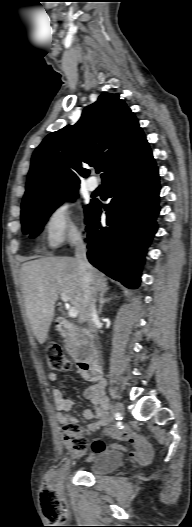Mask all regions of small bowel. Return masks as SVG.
Returning a JSON list of instances; mask_svg holds the SVG:
<instances>
[{"instance_id": "small-bowel-1", "label": "small bowel", "mask_w": 192, "mask_h": 527, "mask_svg": "<svg viewBox=\"0 0 192 527\" xmlns=\"http://www.w3.org/2000/svg\"><path fill=\"white\" fill-rule=\"evenodd\" d=\"M49 380L54 383L57 380L56 374L50 373ZM52 395L57 411V421L61 425H66L70 422H77L75 417L68 414V412L74 407V401L70 398L64 397L59 389H53ZM84 397L89 399L94 406V410L86 409L83 411L84 418L93 421L87 425V431L92 433L101 427L108 426L111 418L108 412V401L105 397L103 382H97L86 388L84 391ZM106 433L118 440L130 442L134 447L131 456L137 461L142 462L141 466L143 468L148 466L147 461L150 460L152 456V448L148 440L136 434L127 426H124L122 431H119L116 426H109ZM109 448L110 446L101 440L94 441L91 447L93 453L104 451Z\"/></svg>"}]
</instances>
